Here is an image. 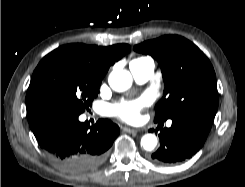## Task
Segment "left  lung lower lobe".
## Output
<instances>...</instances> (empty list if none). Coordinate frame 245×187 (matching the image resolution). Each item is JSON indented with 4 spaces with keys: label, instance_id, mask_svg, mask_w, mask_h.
I'll return each mask as SVG.
<instances>
[{
    "label": "left lung lower lobe",
    "instance_id": "left-lung-lower-lobe-1",
    "mask_svg": "<svg viewBox=\"0 0 245 187\" xmlns=\"http://www.w3.org/2000/svg\"><path fill=\"white\" fill-rule=\"evenodd\" d=\"M171 120L170 128L156 129L160 130V147L151 155L155 163L170 165L192 157L203 146L214 115L195 114Z\"/></svg>",
    "mask_w": 245,
    "mask_h": 187
}]
</instances>
